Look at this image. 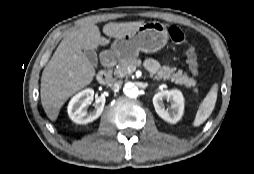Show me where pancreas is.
Instances as JSON below:
<instances>
[{
  "mask_svg": "<svg viewBox=\"0 0 254 174\" xmlns=\"http://www.w3.org/2000/svg\"><path fill=\"white\" fill-rule=\"evenodd\" d=\"M140 63H141V60L137 58L120 60L116 69L114 70V75L119 78L131 76L133 72V68L138 66ZM155 79L156 80H162V79L170 80L171 82H174L175 84L184 85L187 88H191L196 85V81L193 78L189 77L186 73L183 74L181 70H178L176 72L175 67H170L166 65L161 66L160 70L155 75ZM193 91L195 93H198L197 88H194Z\"/></svg>",
  "mask_w": 254,
  "mask_h": 174,
  "instance_id": "pancreas-1",
  "label": "pancreas"
}]
</instances>
